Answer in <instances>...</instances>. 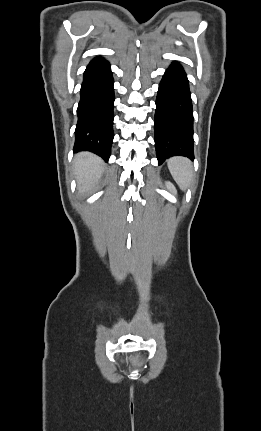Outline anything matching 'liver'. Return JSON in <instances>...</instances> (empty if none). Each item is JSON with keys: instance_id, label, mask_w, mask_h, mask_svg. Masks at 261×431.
<instances>
[{"instance_id": "6515ba94", "label": "liver", "mask_w": 261, "mask_h": 431, "mask_svg": "<svg viewBox=\"0 0 261 431\" xmlns=\"http://www.w3.org/2000/svg\"><path fill=\"white\" fill-rule=\"evenodd\" d=\"M103 162L96 155L82 152L75 157V176L81 193L94 191L103 174Z\"/></svg>"}]
</instances>
